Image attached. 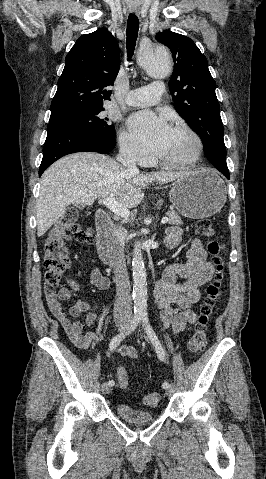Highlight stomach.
<instances>
[{
    "instance_id": "1",
    "label": "stomach",
    "mask_w": 266,
    "mask_h": 479,
    "mask_svg": "<svg viewBox=\"0 0 266 479\" xmlns=\"http://www.w3.org/2000/svg\"><path fill=\"white\" fill-rule=\"evenodd\" d=\"M170 201L174 208L190 219L207 218L223 207L226 186L210 168H200L179 178L172 186Z\"/></svg>"
}]
</instances>
